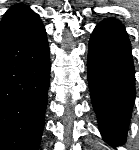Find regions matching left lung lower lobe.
Returning a JSON list of instances; mask_svg holds the SVG:
<instances>
[{"instance_id": "1", "label": "left lung lower lobe", "mask_w": 139, "mask_h": 150, "mask_svg": "<svg viewBox=\"0 0 139 150\" xmlns=\"http://www.w3.org/2000/svg\"><path fill=\"white\" fill-rule=\"evenodd\" d=\"M91 101L99 129L110 144L120 145L135 101V71L124 26L109 18L99 23L89 41L87 59Z\"/></svg>"}]
</instances>
